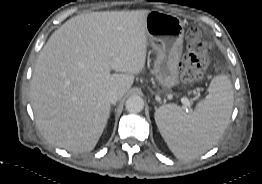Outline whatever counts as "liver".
Returning <instances> with one entry per match:
<instances>
[{"label": "liver", "mask_w": 262, "mask_h": 184, "mask_svg": "<svg viewBox=\"0 0 262 184\" xmlns=\"http://www.w3.org/2000/svg\"><path fill=\"white\" fill-rule=\"evenodd\" d=\"M149 12L82 14L50 36L30 85L35 120L46 140L73 153L95 148L110 117L106 93L117 90L122 98L144 69Z\"/></svg>", "instance_id": "1"}]
</instances>
